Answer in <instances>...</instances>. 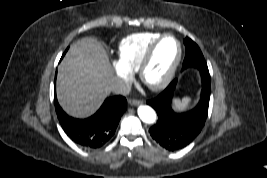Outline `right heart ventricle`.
Returning a JSON list of instances; mask_svg holds the SVG:
<instances>
[{
	"instance_id": "right-heart-ventricle-1",
	"label": "right heart ventricle",
	"mask_w": 267,
	"mask_h": 178,
	"mask_svg": "<svg viewBox=\"0 0 267 178\" xmlns=\"http://www.w3.org/2000/svg\"><path fill=\"white\" fill-rule=\"evenodd\" d=\"M162 35L158 32H142L125 37L118 45V62L130 71H136L149 46Z\"/></svg>"
}]
</instances>
